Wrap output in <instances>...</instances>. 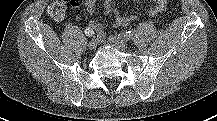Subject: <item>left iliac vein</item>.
Listing matches in <instances>:
<instances>
[{
  "label": "left iliac vein",
  "instance_id": "4c4485c4",
  "mask_svg": "<svg viewBox=\"0 0 217 121\" xmlns=\"http://www.w3.org/2000/svg\"><path fill=\"white\" fill-rule=\"evenodd\" d=\"M109 42L116 46L120 50H125L128 47L127 41L124 40L122 37L117 35H112L109 37Z\"/></svg>",
  "mask_w": 217,
  "mask_h": 121
}]
</instances>
